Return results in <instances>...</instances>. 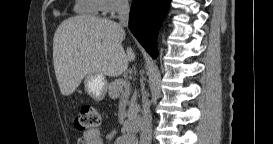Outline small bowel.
I'll list each match as a JSON object with an SVG mask.
<instances>
[{"mask_svg": "<svg viewBox=\"0 0 273 144\" xmlns=\"http://www.w3.org/2000/svg\"><path fill=\"white\" fill-rule=\"evenodd\" d=\"M76 144H103V136L100 130L92 129L85 131L82 136L77 138Z\"/></svg>", "mask_w": 273, "mask_h": 144, "instance_id": "obj_1", "label": "small bowel"}]
</instances>
